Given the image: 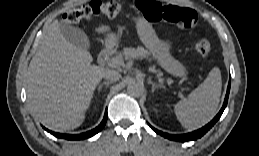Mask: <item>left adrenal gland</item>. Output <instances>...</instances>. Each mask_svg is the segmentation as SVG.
Wrapping results in <instances>:
<instances>
[{"mask_svg": "<svg viewBox=\"0 0 259 156\" xmlns=\"http://www.w3.org/2000/svg\"><path fill=\"white\" fill-rule=\"evenodd\" d=\"M148 83L152 85V92H154L156 89L163 88L165 89V86L162 84H155L151 78L148 79Z\"/></svg>", "mask_w": 259, "mask_h": 156, "instance_id": "left-adrenal-gland-1", "label": "left adrenal gland"}]
</instances>
